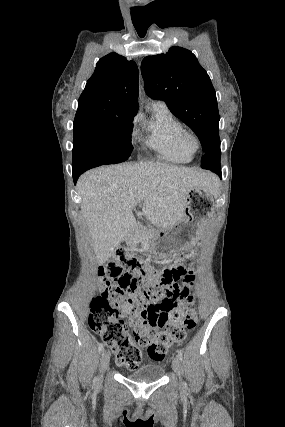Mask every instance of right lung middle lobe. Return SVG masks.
Returning a JSON list of instances; mask_svg holds the SVG:
<instances>
[{
    "mask_svg": "<svg viewBox=\"0 0 285 427\" xmlns=\"http://www.w3.org/2000/svg\"><path fill=\"white\" fill-rule=\"evenodd\" d=\"M132 117L74 123L73 171L127 160L132 151Z\"/></svg>",
    "mask_w": 285,
    "mask_h": 427,
    "instance_id": "obj_1",
    "label": "right lung middle lobe"
}]
</instances>
